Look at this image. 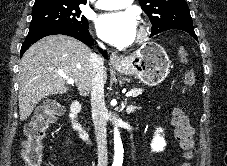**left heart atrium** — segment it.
Wrapping results in <instances>:
<instances>
[{
	"label": "left heart atrium",
	"instance_id": "obj_1",
	"mask_svg": "<svg viewBox=\"0 0 227 166\" xmlns=\"http://www.w3.org/2000/svg\"><path fill=\"white\" fill-rule=\"evenodd\" d=\"M96 29L104 41L113 45H127L136 36V17L128 11L106 13L97 18Z\"/></svg>",
	"mask_w": 227,
	"mask_h": 166
}]
</instances>
